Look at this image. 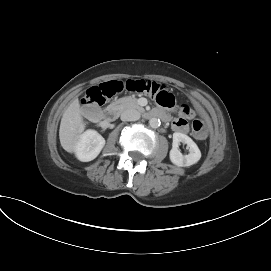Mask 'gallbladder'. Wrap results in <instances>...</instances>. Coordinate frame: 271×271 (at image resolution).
Here are the masks:
<instances>
[{"label": "gallbladder", "mask_w": 271, "mask_h": 271, "mask_svg": "<svg viewBox=\"0 0 271 271\" xmlns=\"http://www.w3.org/2000/svg\"><path fill=\"white\" fill-rule=\"evenodd\" d=\"M97 112V109L96 108H94L93 110H91V114H89V117L90 118H93V119H96L97 118V116H95V113Z\"/></svg>", "instance_id": "bac80fb5"}]
</instances>
